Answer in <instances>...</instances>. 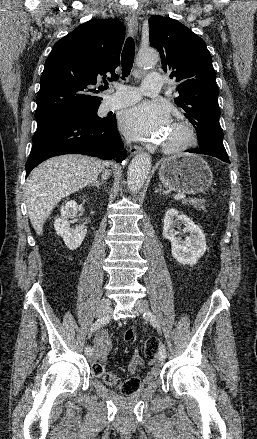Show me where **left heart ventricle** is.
Wrapping results in <instances>:
<instances>
[{"mask_svg": "<svg viewBox=\"0 0 257 439\" xmlns=\"http://www.w3.org/2000/svg\"><path fill=\"white\" fill-rule=\"evenodd\" d=\"M184 133L180 128L170 126L166 132L163 142L165 144H175L182 141Z\"/></svg>", "mask_w": 257, "mask_h": 439, "instance_id": "b2bd125f", "label": "left heart ventricle"}]
</instances>
